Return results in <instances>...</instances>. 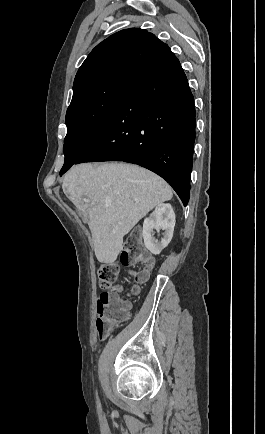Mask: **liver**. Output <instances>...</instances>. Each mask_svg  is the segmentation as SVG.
Returning <instances> with one entry per match:
<instances>
[{"label":"liver","instance_id":"1","mask_svg":"<svg viewBox=\"0 0 265 434\" xmlns=\"http://www.w3.org/2000/svg\"><path fill=\"white\" fill-rule=\"evenodd\" d=\"M62 190L88 224L101 264H113L124 236L150 210L173 196L162 178L131 164L73 166L64 176Z\"/></svg>","mask_w":265,"mask_h":434}]
</instances>
